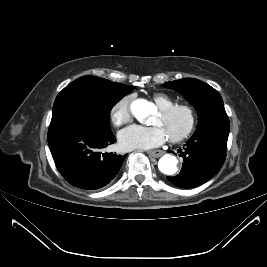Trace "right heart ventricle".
<instances>
[{
  "mask_svg": "<svg viewBox=\"0 0 267 267\" xmlns=\"http://www.w3.org/2000/svg\"><path fill=\"white\" fill-rule=\"evenodd\" d=\"M152 98L159 109L165 108L175 103L171 97H169L168 95L164 93H156L153 95Z\"/></svg>",
  "mask_w": 267,
  "mask_h": 267,
  "instance_id": "right-heart-ventricle-1",
  "label": "right heart ventricle"
}]
</instances>
